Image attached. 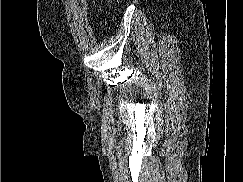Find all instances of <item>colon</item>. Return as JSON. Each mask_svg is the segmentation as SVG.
<instances>
[{
	"label": "colon",
	"instance_id": "obj_1",
	"mask_svg": "<svg viewBox=\"0 0 243 182\" xmlns=\"http://www.w3.org/2000/svg\"><path fill=\"white\" fill-rule=\"evenodd\" d=\"M112 3L111 0H107V5H110Z\"/></svg>",
	"mask_w": 243,
	"mask_h": 182
}]
</instances>
